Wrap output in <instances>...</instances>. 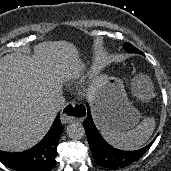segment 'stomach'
<instances>
[{"instance_id": "stomach-1", "label": "stomach", "mask_w": 171, "mask_h": 171, "mask_svg": "<svg viewBox=\"0 0 171 171\" xmlns=\"http://www.w3.org/2000/svg\"><path fill=\"white\" fill-rule=\"evenodd\" d=\"M96 81L100 82L96 95L101 104L98 117L102 123L119 131L133 128L140 120V113L128 100L122 81L102 75Z\"/></svg>"}]
</instances>
